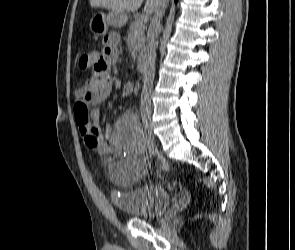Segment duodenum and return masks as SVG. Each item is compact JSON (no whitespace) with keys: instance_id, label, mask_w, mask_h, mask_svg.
Returning <instances> with one entry per match:
<instances>
[{"instance_id":"duodenum-1","label":"duodenum","mask_w":295,"mask_h":250,"mask_svg":"<svg viewBox=\"0 0 295 250\" xmlns=\"http://www.w3.org/2000/svg\"><path fill=\"white\" fill-rule=\"evenodd\" d=\"M137 70L140 74H145L147 70L146 58L143 54H140L137 59Z\"/></svg>"}]
</instances>
